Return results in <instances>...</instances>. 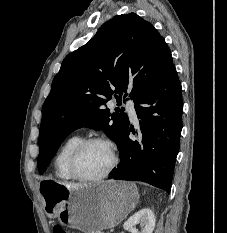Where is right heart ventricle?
Masks as SVG:
<instances>
[{
    "instance_id": "right-heart-ventricle-1",
    "label": "right heart ventricle",
    "mask_w": 227,
    "mask_h": 233,
    "mask_svg": "<svg viewBox=\"0 0 227 233\" xmlns=\"http://www.w3.org/2000/svg\"><path fill=\"white\" fill-rule=\"evenodd\" d=\"M81 140L82 138L80 135H72L69 138H67L59 148L54 160L55 174L59 179L65 181L74 179L68 170V157L72 149Z\"/></svg>"
}]
</instances>
